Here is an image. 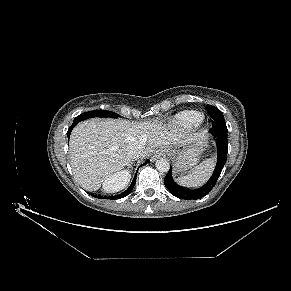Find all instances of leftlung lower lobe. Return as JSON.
<instances>
[{"label":"left lung lower lobe","mask_w":291,"mask_h":291,"mask_svg":"<svg viewBox=\"0 0 291 291\" xmlns=\"http://www.w3.org/2000/svg\"><path fill=\"white\" fill-rule=\"evenodd\" d=\"M212 127L213 128L210 130V132L214 136L217 144V163L213 171V174L211 175L207 183L202 187L194 190H186L179 187L174 182L170 169L167 175L165 176L164 184L172 195L181 198V193L183 191H187L192 196L191 199H200L207 195L215 186L227 159L228 142L226 123H213Z\"/></svg>","instance_id":"0a47b994"}]
</instances>
